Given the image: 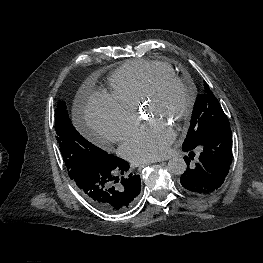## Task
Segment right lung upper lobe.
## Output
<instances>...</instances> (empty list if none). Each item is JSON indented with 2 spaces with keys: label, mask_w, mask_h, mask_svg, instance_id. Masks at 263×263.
Segmentation results:
<instances>
[{
  "label": "right lung upper lobe",
  "mask_w": 263,
  "mask_h": 263,
  "mask_svg": "<svg viewBox=\"0 0 263 263\" xmlns=\"http://www.w3.org/2000/svg\"><path fill=\"white\" fill-rule=\"evenodd\" d=\"M122 211H125V209H114L113 212H122Z\"/></svg>",
  "instance_id": "right-lung-upper-lobe-1"
}]
</instances>
